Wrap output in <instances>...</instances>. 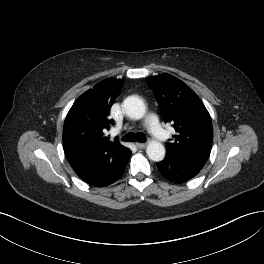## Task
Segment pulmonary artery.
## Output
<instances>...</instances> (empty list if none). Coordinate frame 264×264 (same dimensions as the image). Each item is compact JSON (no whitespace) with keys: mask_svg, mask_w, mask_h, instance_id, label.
Returning a JSON list of instances; mask_svg holds the SVG:
<instances>
[{"mask_svg":"<svg viewBox=\"0 0 264 264\" xmlns=\"http://www.w3.org/2000/svg\"><path fill=\"white\" fill-rule=\"evenodd\" d=\"M147 126L149 128L150 133L153 135L156 139H163L166 137V133L161 128L158 118L154 114H150L147 117Z\"/></svg>","mask_w":264,"mask_h":264,"instance_id":"1","label":"pulmonary artery"}]
</instances>
